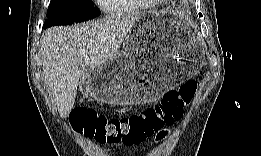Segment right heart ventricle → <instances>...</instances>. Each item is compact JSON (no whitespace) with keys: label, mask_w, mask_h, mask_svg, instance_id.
Here are the masks:
<instances>
[{"label":"right heart ventricle","mask_w":261,"mask_h":156,"mask_svg":"<svg viewBox=\"0 0 261 156\" xmlns=\"http://www.w3.org/2000/svg\"><path fill=\"white\" fill-rule=\"evenodd\" d=\"M129 0H106V8L112 11H124L130 8Z\"/></svg>","instance_id":"e07e8e85"}]
</instances>
